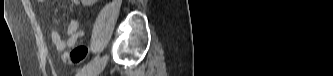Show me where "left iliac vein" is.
<instances>
[{"instance_id":"1","label":"left iliac vein","mask_w":333,"mask_h":76,"mask_svg":"<svg viewBox=\"0 0 333 76\" xmlns=\"http://www.w3.org/2000/svg\"><path fill=\"white\" fill-rule=\"evenodd\" d=\"M108 56H102L96 63H94L89 69L81 72L79 76H98L107 64Z\"/></svg>"}]
</instances>
